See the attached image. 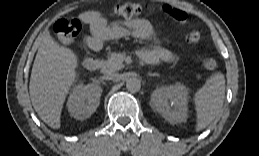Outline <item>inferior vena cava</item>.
I'll list each match as a JSON object with an SVG mask.
<instances>
[{"instance_id":"obj_1","label":"inferior vena cava","mask_w":259,"mask_h":156,"mask_svg":"<svg viewBox=\"0 0 259 156\" xmlns=\"http://www.w3.org/2000/svg\"><path fill=\"white\" fill-rule=\"evenodd\" d=\"M118 77H119V74L114 72L107 73L103 76L105 80H116L118 79Z\"/></svg>"}]
</instances>
